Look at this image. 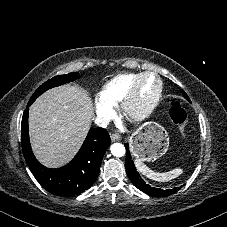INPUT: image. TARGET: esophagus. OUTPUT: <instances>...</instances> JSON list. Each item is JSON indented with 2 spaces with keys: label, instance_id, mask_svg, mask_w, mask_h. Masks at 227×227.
Instances as JSON below:
<instances>
[{
  "label": "esophagus",
  "instance_id": "34e87169",
  "mask_svg": "<svg viewBox=\"0 0 227 227\" xmlns=\"http://www.w3.org/2000/svg\"><path fill=\"white\" fill-rule=\"evenodd\" d=\"M110 138H111L112 141H119V140H121V136L119 134H117V133L111 134L110 135Z\"/></svg>",
  "mask_w": 227,
  "mask_h": 227
}]
</instances>
